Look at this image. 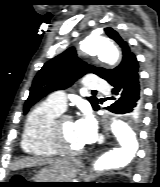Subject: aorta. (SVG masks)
<instances>
[{
  "mask_svg": "<svg viewBox=\"0 0 160 187\" xmlns=\"http://www.w3.org/2000/svg\"><path fill=\"white\" fill-rule=\"evenodd\" d=\"M81 50L108 64L118 61L119 51L105 35L97 34L86 37L80 44ZM111 131L118 145L104 152L94 163L95 171L116 169L126 166L134 157L138 148L137 134L125 121L114 120Z\"/></svg>",
  "mask_w": 160,
  "mask_h": 187,
  "instance_id": "obj_1",
  "label": "aorta"
}]
</instances>
